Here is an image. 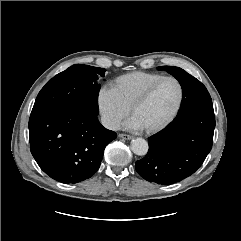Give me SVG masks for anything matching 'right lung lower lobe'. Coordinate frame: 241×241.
I'll return each mask as SVG.
<instances>
[{
    "mask_svg": "<svg viewBox=\"0 0 241 241\" xmlns=\"http://www.w3.org/2000/svg\"><path fill=\"white\" fill-rule=\"evenodd\" d=\"M94 115L64 107L31 113L30 149L39 167L61 183L90 178L100 167L106 145L116 138Z\"/></svg>",
    "mask_w": 241,
    "mask_h": 241,
    "instance_id": "right-lung-lower-lobe-1",
    "label": "right lung lower lobe"
}]
</instances>
